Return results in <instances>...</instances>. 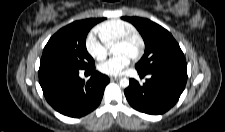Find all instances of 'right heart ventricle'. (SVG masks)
Listing matches in <instances>:
<instances>
[{
	"label": "right heart ventricle",
	"mask_w": 225,
	"mask_h": 132,
	"mask_svg": "<svg viewBox=\"0 0 225 132\" xmlns=\"http://www.w3.org/2000/svg\"><path fill=\"white\" fill-rule=\"evenodd\" d=\"M101 41L107 46L111 47L121 37L137 32L136 27L124 20L113 19L101 23L96 28Z\"/></svg>",
	"instance_id": "e07e8e85"
}]
</instances>
